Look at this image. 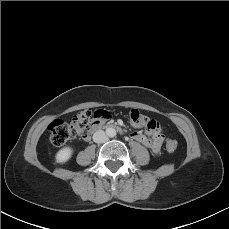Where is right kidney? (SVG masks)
Masks as SVG:
<instances>
[{
  "label": "right kidney",
  "instance_id": "right-kidney-1",
  "mask_svg": "<svg viewBox=\"0 0 229 229\" xmlns=\"http://www.w3.org/2000/svg\"><path fill=\"white\" fill-rule=\"evenodd\" d=\"M73 154V149L70 147H64L59 150L56 154L57 163H65L67 162Z\"/></svg>",
  "mask_w": 229,
  "mask_h": 229
}]
</instances>
